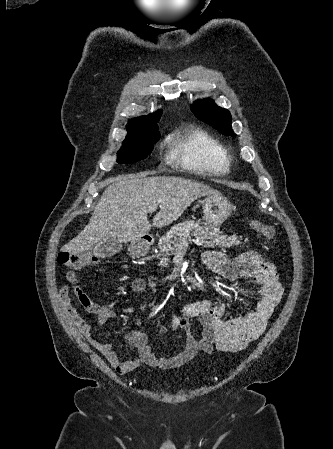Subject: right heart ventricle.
<instances>
[{"mask_svg":"<svg viewBox=\"0 0 333 449\" xmlns=\"http://www.w3.org/2000/svg\"><path fill=\"white\" fill-rule=\"evenodd\" d=\"M171 159L189 170L222 174L229 169L226 147L204 130L181 128L167 140Z\"/></svg>","mask_w":333,"mask_h":449,"instance_id":"e07e8e85","label":"right heart ventricle"}]
</instances>
